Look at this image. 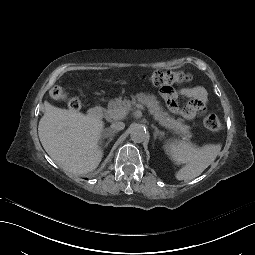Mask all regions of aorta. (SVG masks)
Masks as SVG:
<instances>
[{"label":"aorta","mask_w":255,"mask_h":255,"mask_svg":"<svg viewBox=\"0 0 255 255\" xmlns=\"http://www.w3.org/2000/svg\"><path fill=\"white\" fill-rule=\"evenodd\" d=\"M131 140L135 143L143 142L147 137L146 129L140 125H136L130 132Z\"/></svg>","instance_id":"1"}]
</instances>
